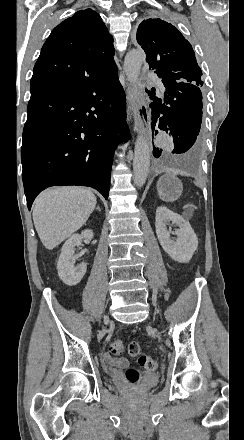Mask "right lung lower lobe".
I'll return each mask as SVG.
<instances>
[{"instance_id":"right-lung-lower-lobe-1","label":"right lung lower lobe","mask_w":244,"mask_h":440,"mask_svg":"<svg viewBox=\"0 0 244 440\" xmlns=\"http://www.w3.org/2000/svg\"><path fill=\"white\" fill-rule=\"evenodd\" d=\"M116 69L31 94L23 129L22 179L28 209L44 189L90 186L108 198L114 150L130 138Z\"/></svg>"}]
</instances>
